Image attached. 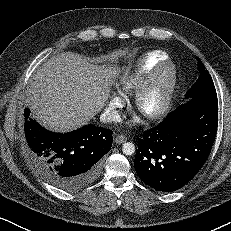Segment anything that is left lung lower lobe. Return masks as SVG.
<instances>
[{
	"label": "left lung lower lobe",
	"mask_w": 231,
	"mask_h": 231,
	"mask_svg": "<svg viewBox=\"0 0 231 231\" xmlns=\"http://www.w3.org/2000/svg\"><path fill=\"white\" fill-rule=\"evenodd\" d=\"M217 95L194 97L140 140L134 167L139 178L164 192L180 189L200 171L215 140Z\"/></svg>",
	"instance_id": "obj_1"
}]
</instances>
